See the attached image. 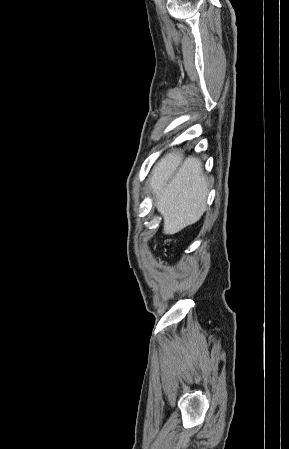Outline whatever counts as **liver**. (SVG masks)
<instances>
[{
	"label": "liver",
	"instance_id": "6515ba94",
	"mask_svg": "<svg viewBox=\"0 0 289 449\" xmlns=\"http://www.w3.org/2000/svg\"><path fill=\"white\" fill-rule=\"evenodd\" d=\"M171 152L153 168L149 187L163 216V233L172 235L196 223L206 210L208 186L199 159Z\"/></svg>",
	"mask_w": 289,
	"mask_h": 449
}]
</instances>
